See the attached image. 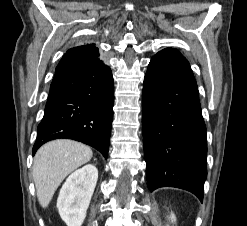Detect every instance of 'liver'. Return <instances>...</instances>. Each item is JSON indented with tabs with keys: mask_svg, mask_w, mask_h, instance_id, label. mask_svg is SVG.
I'll use <instances>...</instances> for the list:
<instances>
[{
	"mask_svg": "<svg viewBox=\"0 0 247 226\" xmlns=\"http://www.w3.org/2000/svg\"><path fill=\"white\" fill-rule=\"evenodd\" d=\"M90 147L67 139L44 144L33 163V180L40 205L46 208L62 181L71 172L90 161Z\"/></svg>",
	"mask_w": 247,
	"mask_h": 226,
	"instance_id": "6515ba94",
	"label": "liver"
}]
</instances>
